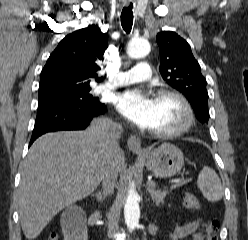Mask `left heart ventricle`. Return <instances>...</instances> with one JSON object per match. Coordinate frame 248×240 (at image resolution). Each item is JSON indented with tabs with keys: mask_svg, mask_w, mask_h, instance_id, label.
Wrapping results in <instances>:
<instances>
[{
	"mask_svg": "<svg viewBox=\"0 0 248 240\" xmlns=\"http://www.w3.org/2000/svg\"><path fill=\"white\" fill-rule=\"evenodd\" d=\"M157 120L153 130H166L176 127L184 117L181 104L173 97L156 98Z\"/></svg>",
	"mask_w": 248,
	"mask_h": 240,
	"instance_id": "b2bd125f",
	"label": "left heart ventricle"
}]
</instances>
